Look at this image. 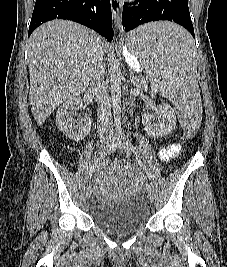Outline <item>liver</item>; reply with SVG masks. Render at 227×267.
Returning a JSON list of instances; mask_svg holds the SVG:
<instances>
[{"mask_svg": "<svg viewBox=\"0 0 227 267\" xmlns=\"http://www.w3.org/2000/svg\"><path fill=\"white\" fill-rule=\"evenodd\" d=\"M105 46L103 38L72 21H49L32 33L28 50L29 104L39 125L62 102L87 89L95 49L104 50Z\"/></svg>", "mask_w": 227, "mask_h": 267, "instance_id": "6515ba94", "label": "liver"}]
</instances>
